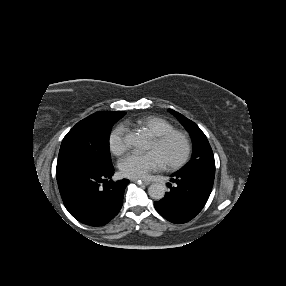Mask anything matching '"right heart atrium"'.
I'll return each mask as SVG.
<instances>
[{
    "label": "right heart atrium",
    "mask_w": 286,
    "mask_h": 286,
    "mask_svg": "<svg viewBox=\"0 0 286 286\" xmlns=\"http://www.w3.org/2000/svg\"><path fill=\"white\" fill-rule=\"evenodd\" d=\"M108 147L116 156L124 154L130 148L127 138V129L123 125H117L108 134Z\"/></svg>",
    "instance_id": "right-heart-atrium-1"
}]
</instances>
